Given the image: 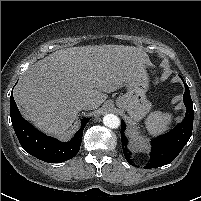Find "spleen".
<instances>
[{"mask_svg": "<svg viewBox=\"0 0 201 201\" xmlns=\"http://www.w3.org/2000/svg\"><path fill=\"white\" fill-rule=\"evenodd\" d=\"M171 122L172 114L155 111L147 117L145 125L151 135H158L165 132L169 128Z\"/></svg>", "mask_w": 201, "mask_h": 201, "instance_id": "spleen-1", "label": "spleen"}]
</instances>
